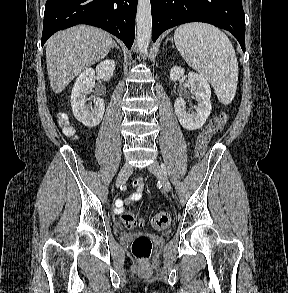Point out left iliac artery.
<instances>
[{
    "label": "left iliac artery",
    "mask_w": 288,
    "mask_h": 293,
    "mask_svg": "<svg viewBox=\"0 0 288 293\" xmlns=\"http://www.w3.org/2000/svg\"><path fill=\"white\" fill-rule=\"evenodd\" d=\"M162 168H163L164 174H166V169H165L164 164H162Z\"/></svg>",
    "instance_id": "44dca946"
}]
</instances>
